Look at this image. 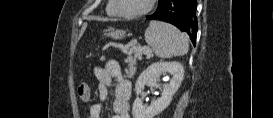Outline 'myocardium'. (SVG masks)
Segmentation results:
<instances>
[{
  "label": "myocardium",
  "mask_w": 273,
  "mask_h": 118,
  "mask_svg": "<svg viewBox=\"0 0 273 118\" xmlns=\"http://www.w3.org/2000/svg\"><path fill=\"white\" fill-rule=\"evenodd\" d=\"M155 1L156 0H149L145 9H143L140 12H136V13H126V12L122 11L120 9L119 0H112V5H113V8H114L116 14H118L119 16L126 18V19H133V18H138V17L148 14L152 10Z\"/></svg>",
  "instance_id": "obj_1"
}]
</instances>
